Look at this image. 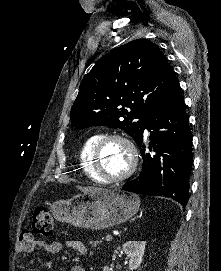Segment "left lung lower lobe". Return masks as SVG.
I'll return each mask as SVG.
<instances>
[{"label": "left lung lower lobe", "mask_w": 221, "mask_h": 271, "mask_svg": "<svg viewBox=\"0 0 221 271\" xmlns=\"http://www.w3.org/2000/svg\"><path fill=\"white\" fill-rule=\"evenodd\" d=\"M150 131L145 154L144 130ZM136 143L141 149L143 168L139 176L122 187L134 193L171 197L182 205L189 200L188 181L193 161L192 134L180 86L173 97L154 111L141 127Z\"/></svg>", "instance_id": "obj_1"}]
</instances>
